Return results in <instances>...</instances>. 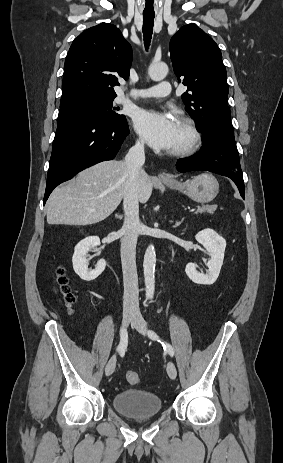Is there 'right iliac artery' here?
I'll list each match as a JSON object with an SVG mask.
<instances>
[{"mask_svg":"<svg viewBox=\"0 0 283 463\" xmlns=\"http://www.w3.org/2000/svg\"><path fill=\"white\" fill-rule=\"evenodd\" d=\"M128 344V333L125 328L121 329V339L118 346V351H124Z\"/></svg>","mask_w":283,"mask_h":463,"instance_id":"82829eb1","label":"right iliac artery"}]
</instances>
